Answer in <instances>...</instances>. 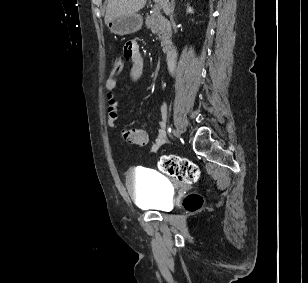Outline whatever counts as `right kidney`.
Wrapping results in <instances>:
<instances>
[{
  "label": "right kidney",
  "instance_id": "ca27d5eb",
  "mask_svg": "<svg viewBox=\"0 0 308 283\" xmlns=\"http://www.w3.org/2000/svg\"><path fill=\"white\" fill-rule=\"evenodd\" d=\"M187 13L189 14L193 13V9L190 6H187Z\"/></svg>",
  "mask_w": 308,
  "mask_h": 283
}]
</instances>
